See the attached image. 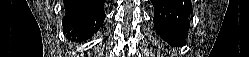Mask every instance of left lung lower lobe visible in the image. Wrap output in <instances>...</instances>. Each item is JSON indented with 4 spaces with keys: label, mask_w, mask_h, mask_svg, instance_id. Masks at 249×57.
<instances>
[{
    "label": "left lung lower lobe",
    "mask_w": 249,
    "mask_h": 57,
    "mask_svg": "<svg viewBox=\"0 0 249 57\" xmlns=\"http://www.w3.org/2000/svg\"><path fill=\"white\" fill-rule=\"evenodd\" d=\"M154 28L170 45H183L187 37L188 17L192 13L190 0H151Z\"/></svg>",
    "instance_id": "left-lung-lower-lobe-1"
}]
</instances>
